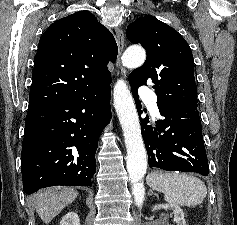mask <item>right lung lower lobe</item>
Instances as JSON below:
<instances>
[{
	"label": "right lung lower lobe",
	"mask_w": 237,
	"mask_h": 225,
	"mask_svg": "<svg viewBox=\"0 0 237 225\" xmlns=\"http://www.w3.org/2000/svg\"><path fill=\"white\" fill-rule=\"evenodd\" d=\"M110 83L28 108L21 154L26 194L55 185H92L98 138L111 116Z\"/></svg>",
	"instance_id": "1"
}]
</instances>
